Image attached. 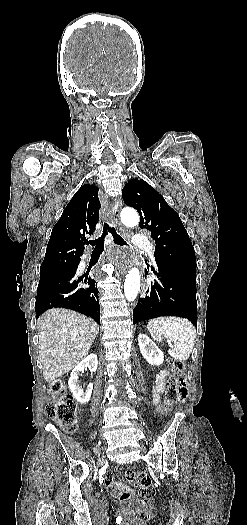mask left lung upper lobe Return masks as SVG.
<instances>
[{
  "label": "left lung upper lobe",
  "instance_id": "left-lung-upper-lobe-1",
  "mask_svg": "<svg viewBox=\"0 0 247 525\" xmlns=\"http://www.w3.org/2000/svg\"><path fill=\"white\" fill-rule=\"evenodd\" d=\"M124 202L140 215V228L155 240L156 264L173 270L196 274L192 242L174 211L153 187L140 179H131L122 190Z\"/></svg>",
  "mask_w": 247,
  "mask_h": 525
}]
</instances>
